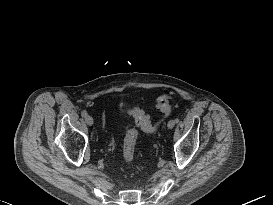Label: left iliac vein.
<instances>
[{
    "instance_id": "obj_1",
    "label": "left iliac vein",
    "mask_w": 273,
    "mask_h": 205,
    "mask_svg": "<svg viewBox=\"0 0 273 205\" xmlns=\"http://www.w3.org/2000/svg\"><path fill=\"white\" fill-rule=\"evenodd\" d=\"M169 129H172L175 126V121L174 120H170L167 124Z\"/></svg>"
}]
</instances>
